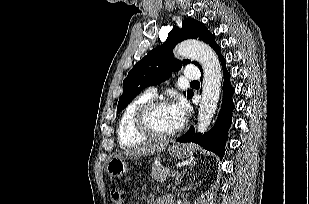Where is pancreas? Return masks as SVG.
<instances>
[{"mask_svg":"<svg viewBox=\"0 0 309 204\" xmlns=\"http://www.w3.org/2000/svg\"><path fill=\"white\" fill-rule=\"evenodd\" d=\"M172 170L157 165L152 166L151 177L157 182H165L171 175Z\"/></svg>","mask_w":309,"mask_h":204,"instance_id":"obj_1","label":"pancreas"}]
</instances>
